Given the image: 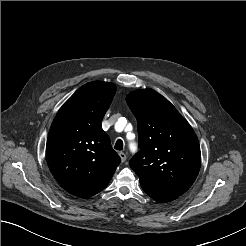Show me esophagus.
Instances as JSON below:
<instances>
[{
	"instance_id": "obj_1",
	"label": "esophagus",
	"mask_w": 246,
	"mask_h": 246,
	"mask_svg": "<svg viewBox=\"0 0 246 246\" xmlns=\"http://www.w3.org/2000/svg\"><path fill=\"white\" fill-rule=\"evenodd\" d=\"M119 156H120L122 162L126 161L127 156H126V154L124 152H119Z\"/></svg>"
}]
</instances>
